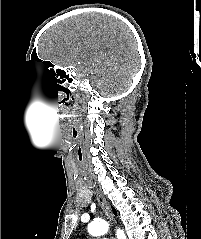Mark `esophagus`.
Instances as JSON below:
<instances>
[{"label":"esophagus","instance_id":"esophagus-1","mask_svg":"<svg viewBox=\"0 0 201 239\" xmlns=\"http://www.w3.org/2000/svg\"><path fill=\"white\" fill-rule=\"evenodd\" d=\"M96 196H97V200H98L102 210L104 211L105 215L107 216V219L112 223L113 216L111 214V211H110V208H109V205H108L106 199L99 191H96Z\"/></svg>","mask_w":201,"mask_h":239}]
</instances>
